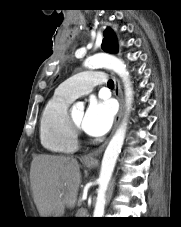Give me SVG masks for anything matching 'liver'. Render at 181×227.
I'll use <instances>...</instances> for the list:
<instances>
[{"label":"liver","mask_w":181,"mask_h":227,"mask_svg":"<svg viewBox=\"0 0 181 227\" xmlns=\"http://www.w3.org/2000/svg\"><path fill=\"white\" fill-rule=\"evenodd\" d=\"M33 199L41 217H63L65 208H74L81 173L73 157L38 155L31 163Z\"/></svg>","instance_id":"liver-1"}]
</instances>
